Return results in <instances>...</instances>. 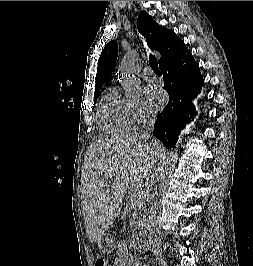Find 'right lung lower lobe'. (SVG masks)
<instances>
[{"label":"right lung lower lobe","instance_id":"obj_1","mask_svg":"<svg viewBox=\"0 0 253 266\" xmlns=\"http://www.w3.org/2000/svg\"><path fill=\"white\" fill-rule=\"evenodd\" d=\"M160 69L169 102L157 117L153 135L165 146L174 148L180 131L194 120L196 110L192 100L204 81L199 65L187 48L172 61L161 65Z\"/></svg>","mask_w":253,"mask_h":266}]
</instances>
